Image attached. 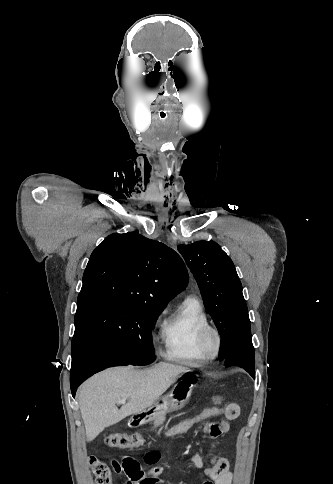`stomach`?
Returning a JSON list of instances; mask_svg holds the SVG:
<instances>
[{
    "label": "stomach",
    "mask_w": 333,
    "mask_h": 484,
    "mask_svg": "<svg viewBox=\"0 0 333 484\" xmlns=\"http://www.w3.org/2000/svg\"><path fill=\"white\" fill-rule=\"evenodd\" d=\"M195 386L196 382L192 378L181 380L173 387L171 392L158 399L145 412L148 414V417H151L158 413L182 408L190 398L193 387Z\"/></svg>",
    "instance_id": "1"
}]
</instances>
